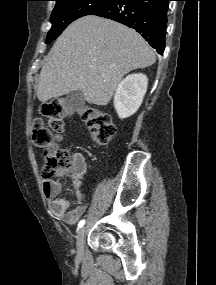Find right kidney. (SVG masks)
Segmentation results:
<instances>
[{
    "instance_id": "1",
    "label": "right kidney",
    "mask_w": 216,
    "mask_h": 285,
    "mask_svg": "<svg viewBox=\"0 0 216 285\" xmlns=\"http://www.w3.org/2000/svg\"><path fill=\"white\" fill-rule=\"evenodd\" d=\"M147 85L148 78L142 73L128 75L118 84L114 95V107L119 118H127L138 110Z\"/></svg>"
}]
</instances>
